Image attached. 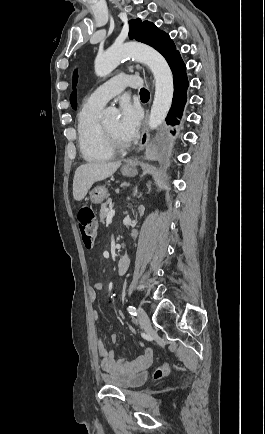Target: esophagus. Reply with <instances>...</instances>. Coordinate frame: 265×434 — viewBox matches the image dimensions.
Masks as SVG:
<instances>
[{
    "mask_svg": "<svg viewBox=\"0 0 265 434\" xmlns=\"http://www.w3.org/2000/svg\"><path fill=\"white\" fill-rule=\"evenodd\" d=\"M148 118H149V112L147 110L145 114V118L143 120V127H142V133H141V139H140L138 151H142L148 145L150 140Z\"/></svg>",
    "mask_w": 265,
    "mask_h": 434,
    "instance_id": "34e87169",
    "label": "esophagus"
}]
</instances>
